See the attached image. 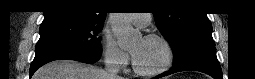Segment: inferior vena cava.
<instances>
[{
	"label": "inferior vena cava",
	"mask_w": 255,
	"mask_h": 79,
	"mask_svg": "<svg viewBox=\"0 0 255 79\" xmlns=\"http://www.w3.org/2000/svg\"><path fill=\"white\" fill-rule=\"evenodd\" d=\"M105 71H106L109 79L116 78V76L118 74V71H119V66L116 63L113 56H107L106 57V59H105Z\"/></svg>",
	"instance_id": "obj_1"
}]
</instances>
